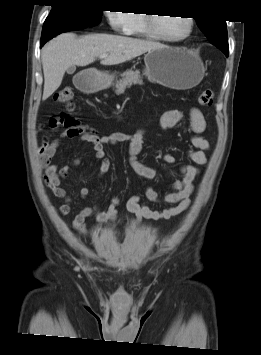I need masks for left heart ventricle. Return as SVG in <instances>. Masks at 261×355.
<instances>
[{
	"label": "left heart ventricle",
	"instance_id": "1",
	"mask_svg": "<svg viewBox=\"0 0 261 355\" xmlns=\"http://www.w3.org/2000/svg\"><path fill=\"white\" fill-rule=\"evenodd\" d=\"M156 24L160 33L170 38H179L188 31L185 17H157Z\"/></svg>",
	"mask_w": 261,
	"mask_h": 355
}]
</instances>
